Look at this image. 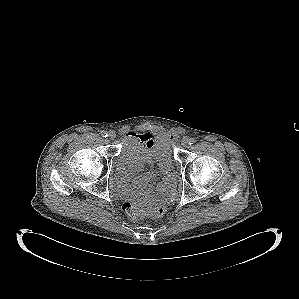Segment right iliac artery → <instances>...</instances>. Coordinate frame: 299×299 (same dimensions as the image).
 Masks as SVG:
<instances>
[{"mask_svg":"<svg viewBox=\"0 0 299 299\" xmlns=\"http://www.w3.org/2000/svg\"><path fill=\"white\" fill-rule=\"evenodd\" d=\"M102 136L103 137H107L108 136V133L106 131H102Z\"/></svg>","mask_w":299,"mask_h":299,"instance_id":"82829eb1","label":"right iliac artery"}]
</instances>
